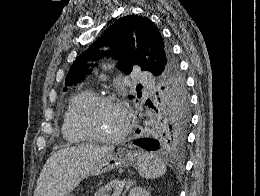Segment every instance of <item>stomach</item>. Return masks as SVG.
Here are the masks:
<instances>
[{
    "label": "stomach",
    "mask_w": 260,
    "mask_h": 196,
    "mask_svg": "<svg viewBox=\"0 0 260 196\" xmlns=\"http://www.w3.org/2000/svg\"><path fill=\"white\" fill-rule=\"evenodd\" d=\"M137 162V152L134 150H126V148H120L117 152H109L103 158H100L97 162V166L90 176H101L105 172L115 170V168H124V166H135Z\"/></svg>",
    "instance_id": "0dacf381"
}]
</instances>
